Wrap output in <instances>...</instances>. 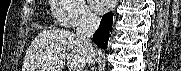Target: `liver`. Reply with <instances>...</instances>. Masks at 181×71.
<instances>
[{
    "label": "liver",
    "mask_w": 181,
    "mask_h": 71,
    "mask_svg": "<svg viewBox=\"0 0 181 71\" xmlns=\"http://www.w3.org/2000/svg\"><path fill=\"white\" fill-rule=\"evenodd\" d=\"M69 71H82L87 52L76 35L62 30L40 32L28 48L22 71H62L65 62Z\"/></svg>",
    "instance_id": "liver-1"
}]
</instances>
